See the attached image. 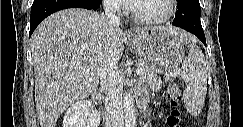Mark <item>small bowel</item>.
Returning a JSON list of instances; mask_svg holds the SVG:
<instances>
[{
  "label": "small bowel",
  "mask_w": 243,
  "mask_h": 127,
  "mask_svg": "<svg viewBox=\"0 0 243 127\" xmlns=\"http://www.w3.org/2000/svg\"><path fill=\"white\" fill-rule=\"evenodd\" d=\"M141 94L146 95V94H145V90H142Z\"/></svg>",
  "instance_id": "1"
}]
</instances>
